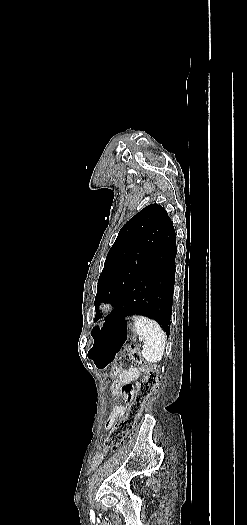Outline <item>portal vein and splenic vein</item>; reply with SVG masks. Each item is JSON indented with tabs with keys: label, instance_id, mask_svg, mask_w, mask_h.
<instances>
[{
	"label": "portal vein and splenic vein",
	"instance_id": "portal-vein-and-splenic-vein-1",
	"mask_svg": "<svg viewBox=\"0 0 247 525\" xmlns=\"http://www.w3.org/2000/svg\"><path fill=\"white\" fill-rule=\"evenodd\" d=\"M143 343H146V340H143Z\"/></svg>",
	"mask_w": 247,
	"mask_h": 525
}]
</instances>
